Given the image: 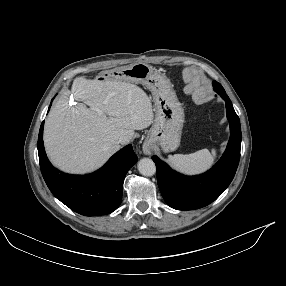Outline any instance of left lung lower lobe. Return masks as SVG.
<instances>
[{"instance_id": "1", "label": "left lung lower lobe", "mask_w": 286, "mask_h": 286, "mask_svg": "<svg viewBox=\"0 0 286 286\" xmlns=\"http://www.w3.org/2000/svg\"><path fill=\"white\" fill-rule=\"evenodd\" d=\"M227 118L230 123V140L226 151L216 165L202 175L184 176L172 170L157 156V182L166 203L177 210L202 208L216 200L231 183L240 159L241 127L232 103L223 94Z\"/></svg>"}]
</instances>
